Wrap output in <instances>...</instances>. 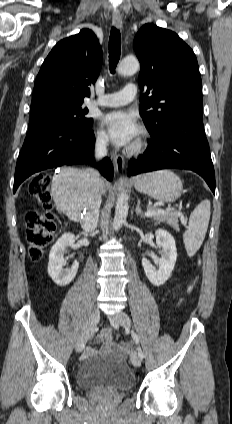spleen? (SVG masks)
<instances>
[{"mask_svg": "<svg viewBox=\"0 0 232 424\" xmlns=\"http://www.w3.org/2000/svg\"><path fill=\"white\" fill-rule=\"evenodd\" d=\"M210 207V201L204 199L190 215L188 229L183 234L189 257L194 256L203 243L210 219Z\"/></svg>", "mask_w": 232, "mask_h": 424, "instance_id": "3e777b00", "label": "spleen"}]
</instances>
